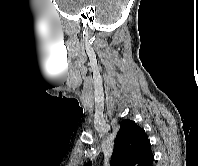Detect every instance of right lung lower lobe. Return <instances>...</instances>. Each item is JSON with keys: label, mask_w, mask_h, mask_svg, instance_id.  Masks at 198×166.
<instances>
[{"label": "right lung lower lobe", "mask_w": 198, "mask_h": 166, "mask_svg": "<svg viewBox=\"0 0 198 166\" xmlns=\"http://www.w3.org/2000/svg\"><path fill=\"white\" fill-rule=\"evenodd\" d=\"M153 161H154V156H152V157L144 164V166H152Z\"/></svg>", "instance_id": "98d812e1"}]
</instances>
